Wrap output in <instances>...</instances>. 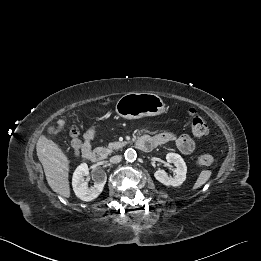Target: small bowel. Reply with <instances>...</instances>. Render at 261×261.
Returning a JSON list of instances; mask_svg holds the SVG:
<instances>
[{
    "instance_id": "obj_1",
    "label": "small bowel",
    "mask_w": 261,
    "mask_h": 261,
    "mask_svg": "<svg viewBox=\"0 0 261 261\" xmlns=\"http://www.w3.org/2000/svg\"><path fill=\"white\" fill-rule=\"evenodd\" d=\"M94 138V130L89 129L83 136V140H75L73 147L76 152H83L85 150L91 149V142ZM140 140H144L146 142H150L154 145V147L174 142L178 151L183 155L191 154L195 148V141L188 135H180L176 136L169 132L159 133L157 135L151 136L149 134H142Z\"/></svg>"
}]
</instances>
